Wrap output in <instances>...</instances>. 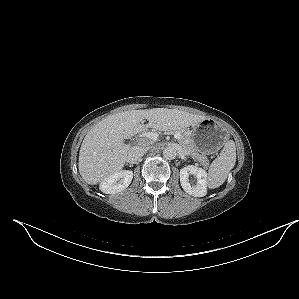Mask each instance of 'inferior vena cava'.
<instances>
[{
    "label": "inferior vena cava",
    "instance_id": "1",
    "mask_svg": "<svg viewBox=\"0 0 299 299\" xmlns=\"http://www.w3.org/2000/svg\"><path fill=\"white\" fill-rule=\"evenodd\" d=\"M147 146H133L128 152V161L130 163H138L142 156L149 150Z\"/></svg>",
    "mask_w": 299,
    "mask_h": 299
}]
</instances>
